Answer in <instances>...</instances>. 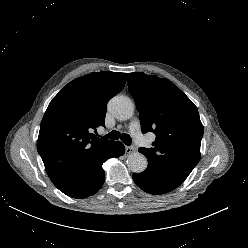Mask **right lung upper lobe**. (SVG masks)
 I'll return each instance as SVG.
<instances>
[{
	"mask_svg": "<svg viewBox=\"0 0 248 248\" xmlns=\"http://www.w3.org/2000/svg\"><path fill=\"white\" fill-rule=\"evenodd\" d=\"M127 73H90L68 83L50 102L40 125L37 150L59 189L103 158L114 141L96 138L107 102L119 93Z\"/></svg>",
	"mask_w": 248,
	"mask_h": 248,
	"instance_id": "cb5924a9",
	"label": "right lung upper lobe"
}]
</instances>
